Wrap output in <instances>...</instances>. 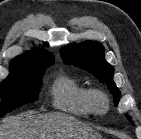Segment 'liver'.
<instances>
[{
    "mask_svg": "<svg viewBox=\"0 0 141 139\" xmlns=\"http://www.w3.org/2000/svg\"><path fill=\"white\" fill-rule=\"evenodd\" d=\"M92 129L71 115L25 112L0 124V139H74Z\"/></svg>",
    "mask_w": 141,
    "mask_h": 139,
    "instance_id": "liver-1",
    "label": "liver"
}]
</instances>
